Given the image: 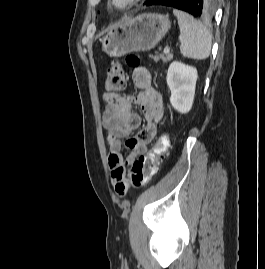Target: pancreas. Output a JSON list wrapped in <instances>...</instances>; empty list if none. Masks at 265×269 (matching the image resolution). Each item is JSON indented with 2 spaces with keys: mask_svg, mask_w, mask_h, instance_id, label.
Segmentation results:
<instances>
[{
  "mask_svg": "<svg viewBox=\"0 0 265 269\" xmlns=\"http://www.w3.org/2000/svg\"><path fill=\"white\" fill-rule=\"evenodd\" d=\"M151 58L155 62H159V60L161 59L163 63H167L168 61H171L173 59V54L171 53H166L165 55L160 54V55L151 56Z\"/></svg>",
  "mask_w": 265,
  "mask_h": 269,
  "instance_id": "1",
  "label": "pancreas"
}]
</instances>
